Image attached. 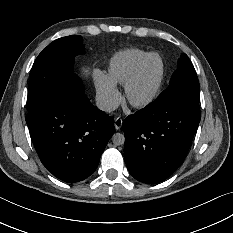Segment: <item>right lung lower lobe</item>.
<instances>
[{
    "mask_svg": "<svg viewBox=\"0 0 233 233\" xmlns=\"http://www.w3.org/2000/svg\"><path fill=\"white\" fill-rule=\"evenodd\" d=\"M26 122L43 165L58 179L74 183L89 177L114 132L113 118L93 106L80 79L64 82Z\"/></svg>",
    "mask_w": 233,
    "mask_h": 233,
    "instance_id": "1",
    "label": "right lung lower lobe"
}]
</instances>
